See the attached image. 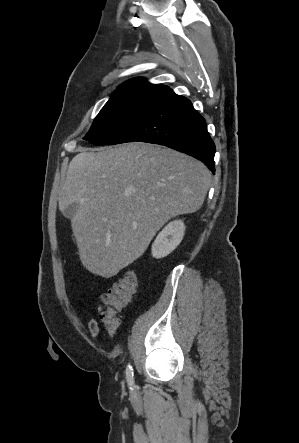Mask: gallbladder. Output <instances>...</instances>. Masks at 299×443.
<instances>
[{
	"label": "gallbladder",
	"instance_id": "1",
	"mask_svg": "<svg viewBox=\"0 0 299 443\" xmlns=\"http://www.w3.org/2000/svg\"><path fill=\"white\" fill-rule=\"evenodd\" d=\"M80 205L79 203L73 202L71 204H69L64 210H63V215L68 217V218H72L74 216V214L77 212V210L79 209Z\"/></svg>",
	"mask_w": 299,
	"mask_h": 443
}]
</instances>
